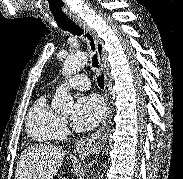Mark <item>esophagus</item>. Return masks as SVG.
<instances>
[{"mask_svg":"<svg viewBox=\"0 0 183 179\" xmlns=\"http://www.w3.org/2000/svg\"><path fill=\"white\" fill-rule=\"evenodd\" d=\"M76 24L80 26L84 33H89L95 42L96 54L98 56L101 70L104 74L105 79V99L107 103V115L106 118L101 126V128L96 131L95 133L89 135L86 138L79 140L76 144V150L82 154H91L99 149H101L108 137L109 127H110V120H111V113L112 108L110 104V90H111V79L109 75V67L106 61V53L103 46V41L98 37L97 33L88 26V24L81 19L75 20Z\"/></svg>","mask_w":183,"mask_h":179,"instance_id":"1","label":"esophagus"}]
</instances>
